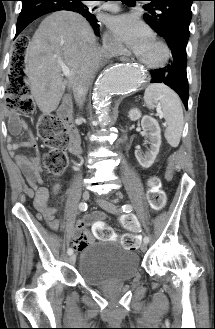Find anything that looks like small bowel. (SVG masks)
<instances>
[{
	"label": "small bowel",
	"mask_w": 215,
	"mask_h": 329,
	"mask_svg": "<svg viewBox=\"0 0 215 329\" xmlns=\"http://www.w3.org/2000/svg\"><path fill=\"white\" fill-rule=\"evenodd\" d=\"M10 123L11 129L14 133L25 131L30 134V137L25 140L15 141L9 139L8 149L11 153H15L16 150L23 147H37L36 141L31 136V132L25 121L21 120L17 115H12ZM15 159L26 177L29 186L33 190L32 196L35 209L41 214V216H43L51 228L57 229L59 227V221L55 218L56 208L48 204L50 193L47 188L42 186V167L40 165L39 157L16 154ZM59 187L60 186L56 184L53 187V191L57 192ZM105 219L106 215L104 213L97 212L91 217L88 216L78 220L76 229L72 236V245L74 249L82 251L93 240H95V242H113L115 237L114 225H105ZM87 225L90 227L92 236H95L94 238L88 233L86 229Z\"/></svg>",
	"instance_id": "small-bowel-1"
}]
</instances>
